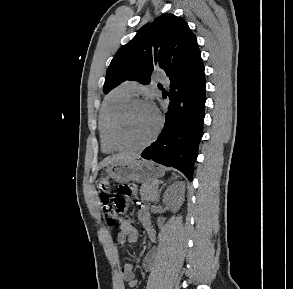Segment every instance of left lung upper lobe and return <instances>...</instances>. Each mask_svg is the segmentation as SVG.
<instances>
[{
	"mask_svg": "<svg viewBox=\"0 0 293 289\" xmlns=\"http://www.w3.org/2000/svg\"><path fill=\"white\" fill-rule=\"evenodd\" d=\"M199 53L197 39L188 24L173 14H163L145 24L118 50L107 69L103 91L108 93L125 80L149 84L151 73L157 68L170 77Z\"/></svg>",
	"mask_w": 293,
	"mask_h": 289,
	"instance_id": "obj_1",
	"label": "left lung upper lobe"
}]
</instances>
